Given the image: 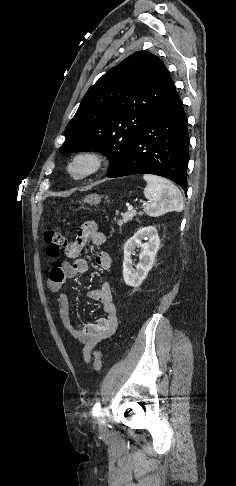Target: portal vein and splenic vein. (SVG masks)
<instances>
[{
  "label": "portal vein and splenic vein",
  "instance_id": "1",
  "mask_svg": "<svg viewBox=\"0 0 236 486\" xmlns=\"http://www.w3.org/2000/svg\"><path fill=\"white\" fill-rule=\"evenodd\" d=\"M128 210L129 211H132L133 210V206L132 205L128 206Z\"/></svg>",
  "mask_w": 236,
  "mask_h": 486
}]
</instances>
